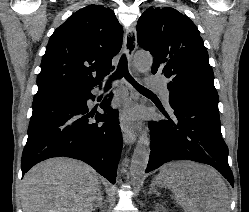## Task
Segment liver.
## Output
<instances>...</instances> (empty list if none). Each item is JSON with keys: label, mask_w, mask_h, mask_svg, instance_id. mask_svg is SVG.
I'll return each mask as SVG.
<instances>
[{"label": "liver", "mask_w": 249, "mask_h": 212, "mask_svg": "<svg viewBox=\"0 0 249 212\" xmlns=\"http://www.w3.org/2000/svg\"><path fill=\"white\" fill-rule=\"evenodd\" d=\"M184 212H230L228 190L217 170L196 162H171L156 176ZM97 172L77 160L40 162L22 180L23 212H92L99 190Z\"/></svg>", "instance_id": "1"}]
</instances>
